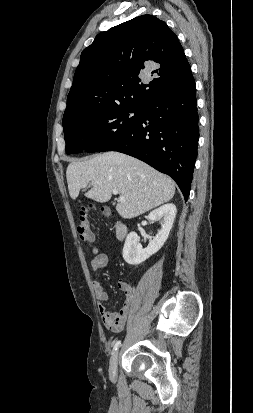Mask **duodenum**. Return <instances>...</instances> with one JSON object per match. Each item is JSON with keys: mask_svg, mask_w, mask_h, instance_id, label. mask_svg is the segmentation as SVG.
<instances>
[{"mask_svg": "<svg viewBox=\"0 0 253 413\" xmlns=\"http://www.w3.org/2000/svg\"><path fill=\"white\" fill-rule=\"evenodd\" d=\"M128 233V228L123 222H118L116 224V236L118 239L122 240Z\"/></svg>", "mask_w": 253, "mask_h": 413, "instance_id": "410a0bca", "label": "duodenum"}]
</instances>
